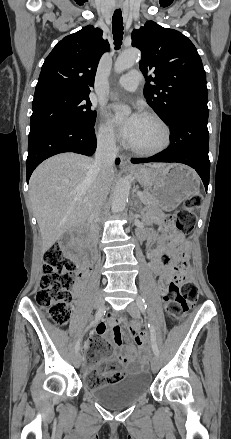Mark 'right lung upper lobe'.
Instances as JSON below:
<instances>
[{"label": "right lung upper lobe", "mask_w": 231, "mask_h": 439, "mask_svg": "<svg viewBox=\"0 0 231 439\" xmlns=\"http://www.w3.org/2000/svg\"><path fill=\"white\" fill-rule=\"evenodd\" d=\"M102 34L86 26L63 38L44 61L34 99L53 93L89 95L99 59L110 48Z\"/></svg>", "instance_id": "1"}]
</instances>
